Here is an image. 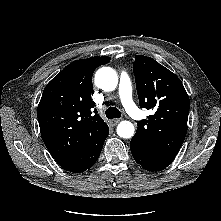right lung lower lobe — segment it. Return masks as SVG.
<instances>
[{
    "label": "right lung lower lobe",
    "mask_w": 221,
    "mask_h": 221,
    "mask_svg": "<svg viewBox=\"0 0 221 221\" xmlns=\"http://www.w3.org/2000/svg\"><path fill=\"white\" fill-rule=\"evenodd\" d=\"M109 133L108 126L102 130L96 137L91 139L84 147H82L77 153L71 156L66 161L59 165L73 173L84 172L91 168L97 161L105 139Z\"/></svg>",
    "instance_id": "1"
}]
</instances>
